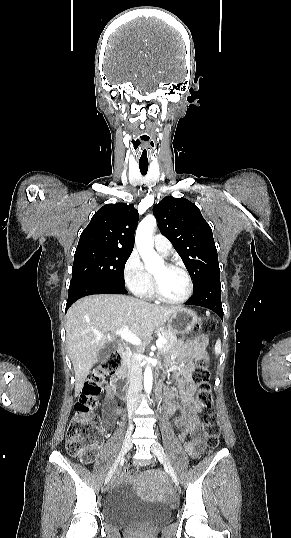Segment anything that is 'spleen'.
<instances>
[{"mask_svg":"<svg viewBox=\"0 0 291 538\" xmlns=\"http://www.w3.org/2000/svg\"><path fill=\"white\" fill-rule=\"evenodd\" d=\"M214 351L216 355H219L221 353V341L220 340H217L214 347Z\"/></svg>","mask_w":291,"mask_h":538,"instance_id":"1","label":"spleen"}]
</instances>
